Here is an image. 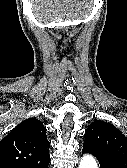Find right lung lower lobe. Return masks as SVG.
Listing matches in <instances>:
<instances>
[{"instance_id":"1","label":"right lung lower lobe","mask_w":127,"mask_h":168,"mask_svg":"<svg viewBox=\"0 0 127 168\" xmlns=\"http://www.w3.org/2000/svg\"><path fill=\"white\" fill-rule=\"evenodd\" d=\"M49 162H50V159L45 164H42V165L13 164V165L2 166V168H48Z\"/></svg>"}]
</instances>
